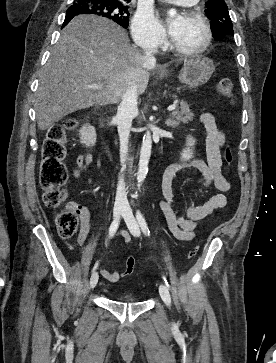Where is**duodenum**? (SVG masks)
Wrapping results in <instances>:
<instances>
[{
  "mask_svg": "<svg viewBox=\"0 0 276 363\" xmlns=\"http://www.w3.org/2000/svg\"><path fill=\"white\" fill-rule=\"evenodd\" d=\"M99 124H100V128H101L102 130H104V129L106 128V117H105V115H103V114H100V115H99ZM104 150H105V152H106L108 155H110V153H111V148H110V145H109V143H108V141H107V140H105Z\"/></svg>",
  "mask_w": 276,
  "mask_h": 363,
  "instance_id": "1",
  "label": "duodenum"
}]
</instances>
